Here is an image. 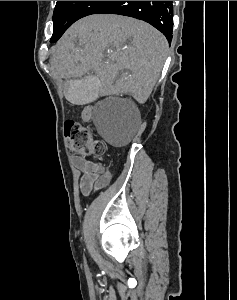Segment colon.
Wrapping results in <instances>:
<instances>
[{
	"instance_id": "5ec220e1",
	"label": "colon",
	"mask_w": 237,
	"mask_h": 300,
	"mask_svg": "<svg viewBox=\"0 0 237 300\" xmlns=\"http://www.w3.org/2000/svg\"><path fill=\"white\" fill-rule=\"evenodd\" d=\"M65 139L68 148L80 156H101L105 146L94 139L91 131L83 125L71 121L65 124Z\"/></svg>"
}]
</instances>
